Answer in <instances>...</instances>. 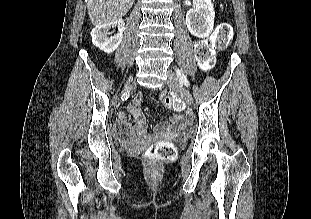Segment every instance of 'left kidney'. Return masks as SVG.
Returning a JSON list of instances; mask_svg holds the SVG:
<instances>
[{"mask_svg": "<svg viewBox=\"0 0 311 219\" xmlns=\"http://www.w3.org/2000/svg\"><path fill=\"white\" fill-rule=\"evenodd\" d=\"M194 9L186 14L189 32L198 38L208 37L213 30L215 11L211 0H193Z\"/></svg>", "mask_w": 311, "mask_h": 219, "instance_id": "obj_1", "label": "left kidney"}]
</instances>
